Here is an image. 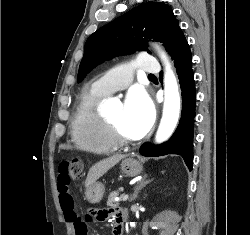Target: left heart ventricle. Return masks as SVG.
Masks as SVG:
<instances>
[{
  "instance_id": "left-heart-ventricle-1",
  "label": "left heart ventricle",
  "mask_w": 250,
  "mask_h": 235,
  "mask_svg": "<svg viewBox=\"0 0 250 235\" xmlns=\"http://www.w3.org/2000/svg\"><path fill=\"white\" fill-rule=\"evenodd\" d=\"M109 120L115 123L121 130L122 134L130 140L136 139L135 135L129 129L128 124L125 121L124 107H120L113 113L107 116Z\"/></svg>"
}]
</instances>
